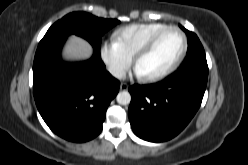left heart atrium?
<instances>
[{
    "label": "left heart atrium",
    "instance_id": "1",
    "mask_svg": "<svg viewBox=\"0 0 248 165\" xmlns=\"http://www.w3.org/2000/svg\"><path fill=\"white\" fill-rule=\"evenodd\" d=\"M135 74L138 76V77H144V73L141 71V69L139 67L136 66L135 68Z\"/></svg>",
    "mask_w": 248,
    "mask_h": 165
}]
</instances>
